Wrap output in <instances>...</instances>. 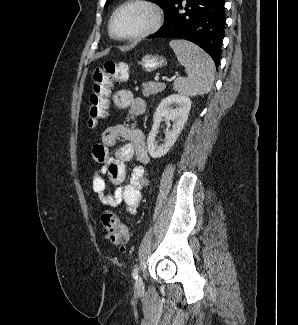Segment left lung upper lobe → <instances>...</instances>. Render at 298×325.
I'll list each match as a JSON object with an SVG mask.
<instances>
[{
	"label": "left lung upper lobe",
	"instance_id": "5c2ea615",
	"mask_svg": "<svg viewBox=\"0 0 298 325\" xmlns=\"http://www.w3.org/2000/svg\"><path fill=\"white\" fill-rule=\"evenodd\" d=\"M113 0H107L105 6H108ZM157 1L158 3H160L161 5H163L165 7V9L170 5V3L172 2V0H154Z\"/></svg>",
	"mask_w": 298,
	"mask_h": 325
}]
</instances>
